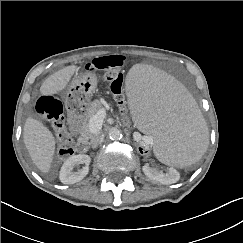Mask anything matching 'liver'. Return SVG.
Listing matches in <instances>:
<instances>
[{
	"instance_id": "liver-1",
	"label": "liver",
	"mask_w": 243,
	"mask_h": 243,
	"mask_svg": "<svg viewBox=\"0 0 243 243\" xmlns=\"http://www.w3.org/2000/svg\"><path fill=\"white\" fill-rule=\"evenodd\" d=\"M78 66H67L51 76L41 85L42 95H54L66 88ZM24 144L35 166L43 173L51 168L56 141L52 132L39 120L28 117L23 129Z\"/></svg>"
}]
</instances>
